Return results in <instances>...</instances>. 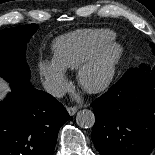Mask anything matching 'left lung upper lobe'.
<instances>
[{"mask_svg": "<svg viewBox=\"0 0 155 155\" xmlns=\"http://www.w3.org/2000/svg\"><path fill=\"white\" fill-rule=\"evenodd\" d=\"M150 46H151V48H152L153 54L155 55V44L151 43Z\"/></svg>", "mask_w": 155, "mask_h": 155, "instance_id": "obj_1", "label": "left lung upper lobe"}]
</instances>
